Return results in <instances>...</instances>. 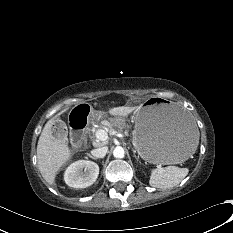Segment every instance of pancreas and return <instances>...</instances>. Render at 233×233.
Masks as SVG:
<instances>
[{
    "mask_svg": "<svg viewBox=\"0 0 233 233\" xmlns=\"http://www.w3.org/2000/svg\"><path fill=\"white\" fill-rule=\"evenodd\" d=\"M122 127H119V130H121ZM97 129H93V132L96 133Z\"/></svg>",
    "mask_w": 233,
    "mask_h": 233,
    "instance_id": "1",
    "label": "pancreas"
}]
</instances>
